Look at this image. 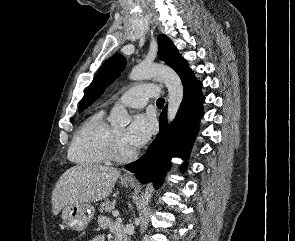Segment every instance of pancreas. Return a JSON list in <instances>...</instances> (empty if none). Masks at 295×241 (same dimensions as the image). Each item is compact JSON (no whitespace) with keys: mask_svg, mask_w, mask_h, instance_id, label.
I'll return each instance as SVG.
<instances>
[{"mask_svg":"<svg viewBox=\"0 0 295 241\" xmlns=\"http://www.w3.org/2000/svg\"><path fill=\"white\" fill-rule=\"evenodd\" d=\"M115 207V202H112L110 200H105L104 202L101 203L99 207V211L101 213L103 212H111Z\"/></svg>","mask_w":295,"mask_h":241,"instance_id":"1","label":"pancreas"}]
</instances>
